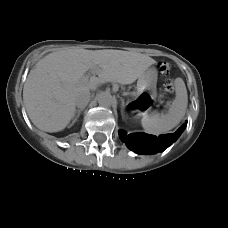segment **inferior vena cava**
<instances>
[{"label":"inferior vena cava","instance_id":"602c4592","mask_svg":"<svg viewBox=\"0 0 228 228\" xmlns=\"http://www.w3.org/2000/svg\"><path fill=\"white\" fill-rule=\"evenodd\" d=\"M90 101V91L83 90L76 93L74 97L75 105L78 108H85Z\"/></svg>","mask_w":228,"mask_h":228}]
</instances>
